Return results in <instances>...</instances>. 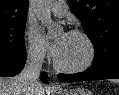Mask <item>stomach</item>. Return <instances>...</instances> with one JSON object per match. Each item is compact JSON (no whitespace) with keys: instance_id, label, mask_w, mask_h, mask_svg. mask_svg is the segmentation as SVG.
I'll return each instance as SVG.
<instances>
[{"instance_id":"0dacf381","label":"stomach","mask_w":119,"mask_h":95,"mask_svg":"<svg viewBox=\"0 0 119 95\" xmlns=\"http://www.w3.org/2000/svg\"><path fill=\"white\" fill-rule=\"evenodd\" d=\"M54 95H92V93L84 88H73L69 90L56 91L54 92Z\"/></svg>"}]
</instances>
